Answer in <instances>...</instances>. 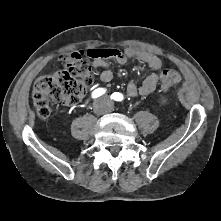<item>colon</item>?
Returning <instances> with one entry per match:
<instances>
[{
  "label": "colon",
  "instance_id": "obj_1",
  "mask_svg": "<svg viewBox=\"0 0 221 221\" xmlns=\"http://www.w3.org/2000/svg\"><path fill=\"white\" fill-rule=\"evenodd\" d=\"M101 49L65 52L60 56L62 69L38 78L33 86L32 99L40 119L51 113V103L74 105L78 103L93 84L91 67L85 57L105 55ZM182 81L181 75L174 70H164L160 76V89L168 91Z\"/></svg>",
  "mask_w": 221,
  "mask_h": 221
}]
</instances>
